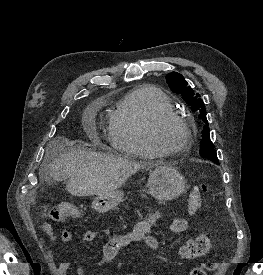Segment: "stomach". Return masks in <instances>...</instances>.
<instances>
[{"instance_id": "1", "label": "stomach", "mask_w": 263, "mask_h": 275, "mask_svg": "<svg viewBox=\"0 0 263 275\" xmlns=\"http://www.w3.org/2000/svg\"><path fill=\"white\" fill-rule=\"evenodd\" d=\"M185 179L182 174L171 166H158L152 171L148 179L149 193L160 201L173 200L185 191ZM124 193L114 190L108 195L98 196L92 203V208L105 213L115 208L122 200Z\"/></svg>"}]
</instances>
